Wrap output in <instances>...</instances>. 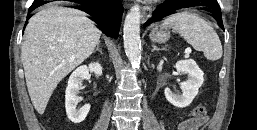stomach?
Returning <instances> with one entry per match:
<instances>
[{
	"label": "stomach",
	"instance_id": "stomach-1",
	"mask_svg": "<svg viewBox=\"0 0 257 130\" xmlns=\"http://www.w3.org/2000/svg\"><path fill=\"white\" fill-rule=\"evenodd\" d=\"M149 37L153 42L163 43L169 39L170 32L168 30V27L155 26L151 30Z\"/></svg>",
	"mask_w": 257,
	"mask_h": 130
}]
</instances>
